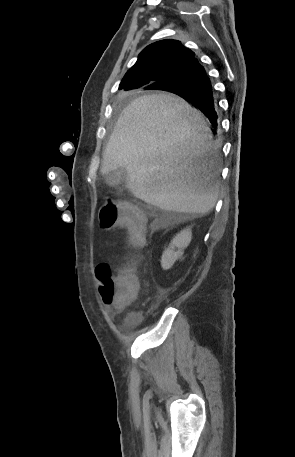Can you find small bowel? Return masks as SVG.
<instances>
[{
	"label": "small bowel",
	"mask_w": 295,
	"mask_h": 457,
	"mask_svg": "<svg viewBox=\"0 0 295 457\" xmlns=\"http://www.w3.org/2000/svg\"><path fill=\"white\" fill-rule=\"evenodd\" d=\"M141 318H142V314L136 313V314L130 315L129 318H128V320H129L130 322H136V321H138V320L141 319Z\"/></svg>",
	"instance_id": "c3829d8e"
}]
</instances>
